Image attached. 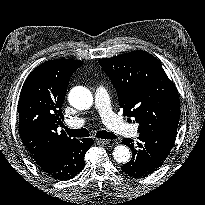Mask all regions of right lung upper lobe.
<instances>
[{
  "instance_id": "1",
  "label": "right lung upper lobe",
  "mask_w": 205,
  "mask_h": 205,
  "mask_svg": "<svg viewBox=\"0 0 205 205\" xmlns=\"http://www.w3.org/2000/svg\"><path fill=\"white\" fill-rule=\"evenodd\" d=\"M83 62L51 60L37 66L25 80L19 102V126L23 144L33 159L41 162L77 139L57 132L62 124V104L69 79Z\"/></svg>"
}]
</instances>
